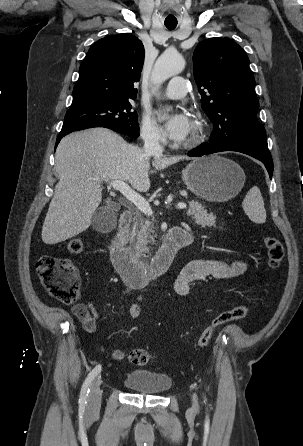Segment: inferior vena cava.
<instances>
[{
  "label": "inferior vena cava",
  "instance_id": "obj_1",
  "mask_svg": "<svg viewBox=\"0 0 303 446\" xmlns=\"http://www.w3.org/2000/svg\"><path fill=\"white\" fill-rule=\"evenodd\" d=\"M144 152L145 154L151 155H162L163 147L159 144L156 137H148L144 141Z\"/></svg>",
  "mask_w": 303,
  "mask_h": 446
}]
</instances>
